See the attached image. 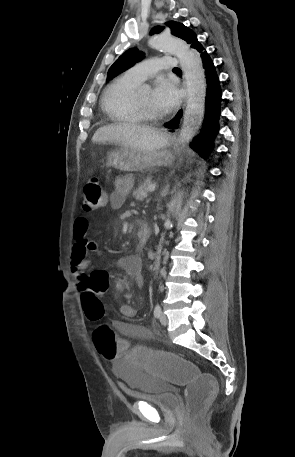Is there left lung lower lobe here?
Returning <instances> with one entry per match:
<instances>
[{
  "label": "left lung lower lobe",
  "mask_w": 295,
  "mask_h": 457,
  "mask_svg": "<svg viewBox=\"0 0 295 457\" xmlns=\"http://www.w3.org/2000/svg\"><path fill=\"white\" fill-rule=\"evenodd\" d=\"M191 47L194 48L197 55L201 57L207 83L203 127L200 135L194 139L191 146L192 148L198 150L204 158H207L208 152L213 146V139L219 130L218 120L220 116V101L222 93L215 66L207 51H205L198 39L191 44ZM181 117L182 111L180 110L177 115L167 123V127L176 128Z\"/></svg>",
  "instance_id": "obj_1"
}]
</instances>
